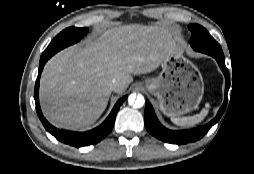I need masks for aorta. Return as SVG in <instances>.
<instances>
[{"mask_svg":"<svg viewBox=\"0 0 254 174\" xmlns=\"http://www.w3.org/2000/svg\"><path fill=\"white\" fill-rule=\"evenodd\" d=\"M128 102L135 108H141L145 104V99L143 95L134 93L129 96Z\"/></svg>","mask_w":254,"mask_h":174,"instance_id":"1","label":"aorta"}]
</instances>
